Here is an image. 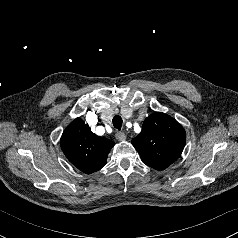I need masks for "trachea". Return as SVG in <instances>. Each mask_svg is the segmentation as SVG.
<instances>
[{
  "label": "trachea",
  "mask_w": 238,
  "mask_h": 238,
  "mask_svg": "<svg viewBox=\"0 0 238 238\" xmlns=\"http://www.w3.org/2000/svg\"><path fill=\"white\" fill-rule=\"evenodd\" d=\"M113 126L118 129V130H121V127H122V118L119 116V115H116L113 120Z\"/></svg>",
  "instance_id": "3493384b"
}]
</instances>
